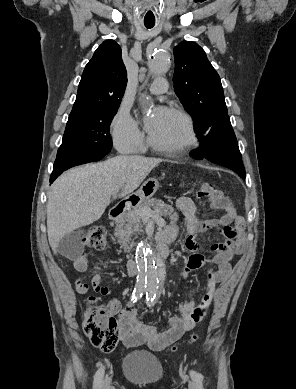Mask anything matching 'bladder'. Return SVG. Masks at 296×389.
<instances>
[{
    "mask_svg": "<svg viewBox=\"0 0 296 389\" xmlns=\"http://www.w3.org/2000/svg\"><path fill=\"white\" fill-rule=\"evenodd\" d=\"M122 370L125 378L137 386L157 383L163 377L160 360L144 350L128 352L123 358Z\"/></svg>",
    "mask_w": 296,
    "mask_h": 389,
    "instance_id": "obj_1",
    "label": "bladder"
}]
</instances>
